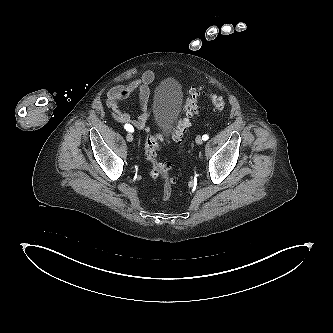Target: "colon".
I'll return each mask as SVG.
<instances>
[{"label": "colon", "mask_w": 333, "mask_h": 333, "mask_svg": "<svg viewBox=\"0 0 333 333\" xmlns=\"http://www.w3.org/2000/svg\"><path fill=\"white\" fill-rule=\"evenodd\" d=\"M207 96L214 107L218 111H222L226 107L224 98L220 95L207 93L202 89L192 88L185 101L183 118L176 123L170 132V140L180 142L186 131L190 121L197 115L199 111V99L201 96ZM165 141L162 135L148 133L144 145L145 158L149 164V172L152 178L159 179L163 183L162 199L168 200L172 194V189L176 183V179L169 173L171 164L169 162H158L157 153L161 148V144Z\"/></svg>", "instance_id": "1"}]
</instances>
